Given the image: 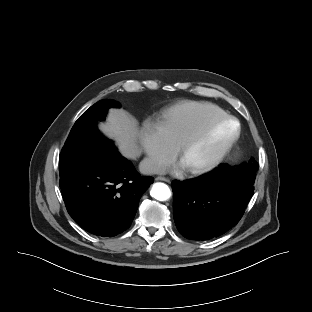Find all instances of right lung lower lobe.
Returning <instances> with one entry per match:
<instances>
[{
  "instance_id": "right-lung-lower-lobe-1",
  "label": "right lung lower lobe",
  "mask_w": 312,
  "mask_h": 312,
  "mask_svg": "<svg viewBox=\"0 0 312 312\" xmlns=\"http://www.w3.org/2000/svg\"><path fill=\"white\" fill-rule=\"evenodd\" d=\"M153 180L141 177L113 146L60 180V188L67 211L79 226L112 237L131 225L139 200Z\"/></svg>"
}]
</instances>
